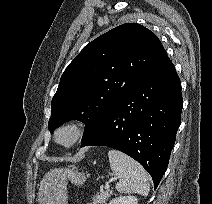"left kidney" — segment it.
I'll list each match as a JSON object with an SVG mask.
<instances>
[{
    "label": "left kidney",
    "mask_w": 212,
    "mask_h": 204,
    "mask_svg": "<svg viewBox=\"0 0 212 204\" xmlns=\"http://www.w3.org/2000/svg\"><path fill=\"white\" fill-rule=\"evenodd\" d=\"M108 204H138V199L135 196H120L112 199Z\"/></svg>",
    "instance_id": "1"
}]
</instances>
